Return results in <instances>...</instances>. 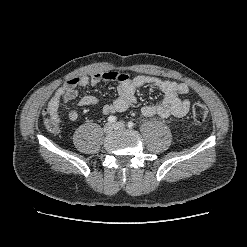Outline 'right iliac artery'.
<instances>
[{"label":"right iliac artery","mask_w":247,"mask_h":247,"mask_svg":"<svg viewBox=\"0 0 247 247\" xmlns=\"http://www.w3.org/2000/svg\"><path fill=\"white\" fill-rule=\"evenodd\" d=\"M116 120H117V118L115 116H113V115L108 117V122L109 123H114Z\"/></svg>","instance_id":"1"}]
</instances>
